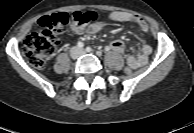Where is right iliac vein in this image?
Masks as SVG:
<instances>
[{"instance_id": "1", "label": "right iliac vein", "mask_w": 194, "mask_h": 133, "mask_svg": "<svg viewBox=\"0 0 194 133\" xmlns=\"http://www.w3.org/2000/svg\"><path fill=\"white\" fill-rule=\"evenodd\" d=\"M70 55H71V58H72V59H74V60L77 59V58L79 57V55H80L79 49H78V48H73V49L71 50Z\"/></svg>"}]
</instances>
